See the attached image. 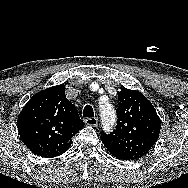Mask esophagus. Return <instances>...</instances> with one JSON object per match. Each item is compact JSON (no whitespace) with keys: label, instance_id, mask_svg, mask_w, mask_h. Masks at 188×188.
<instances>
[{"label":"esophagus","instance_id":"34e87169","mask_svg":"<svg viewBox=\"0 0 188 188\" xmlns=\"http://www.w3.org/2000/svg\"><path fill=\"white\" fill-rule=\"evenodd\" d=\"M98 122H99L98 118L95 117L85 119V123L90 126H96L98 125Z\"/></svg>","mask_w":188,"mask_h":188}]
</instances>
